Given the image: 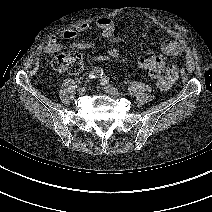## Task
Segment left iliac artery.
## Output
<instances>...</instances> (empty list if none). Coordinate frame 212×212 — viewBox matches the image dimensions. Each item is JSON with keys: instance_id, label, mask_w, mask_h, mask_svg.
Returning a JSON list of instances; mask_svg holds the SVG:
<instances>
[{"instance_id": "44dca946", "label": "left iliac artery", "mask_w": 212, "mask_h": 212, "mask_svg": "<svg viewBox=\"0 0 212 212\" xmlns=\"http://www.w3.org/2000/svg\"><path fill=\"white\" fill-rule=\"evenodd\" d=\"M109 80H110L109 77L106 76V75L102 76L101 79H100L102 84H108Z\"/></svg>"}]
</instances>
